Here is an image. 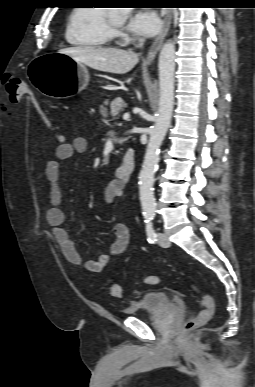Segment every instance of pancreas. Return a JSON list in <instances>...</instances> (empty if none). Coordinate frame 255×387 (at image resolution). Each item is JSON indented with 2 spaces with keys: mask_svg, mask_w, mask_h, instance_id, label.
I'll return each mask as SVG.
<instances>
[{
  "mask_svg": "<svg viewBox=\"0 0 255 387\" xmlns=\"http://www.w3.org/2000/svg\"><path fill=\"white\" fill-rule=\"evenodd\" d=\"M109 104V101L106 99L104 101V105H108ZM127 107V104L120 98V97H117L115 98L111 103H110V109H111V116L113 118H116L120 115V113L123 111L124 108ZM102 111L104 114H106V109L104 107H102ZM124 141H126L125 139H120L119 142L120 143H123Z\"/></svg>",
  "mask_w": 255,
  "mask_h": 387,
  "instance_id": "pancreas-1",
  "label": "pancreas"
}]
</instances>
